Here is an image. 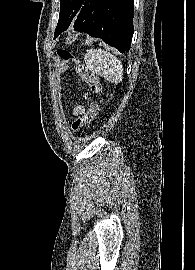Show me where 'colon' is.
<instances>
[{
    "mask_svg": "<svg viewBox=\"0 0 195 270\" xmlns=\"http://www.w3.org/2000/svg\"><path fill=\"white\" fill-rule=\"evenodd\" d=\"M58 57L64 62H72L76 65V71L83 81L89 86L94 94H99L101 91V83L99 78L90 71L81 61L75 58L67 49L59 48L57 50ZM99 106L97 102H92L82 116L75 119L72 123L74 131L82 130L88 123H90L98 114Z\"/></svg>",
    "mask_w": 195,
    "mask_h": 270,
    "instance_id": "5ec220e1",
    "label": "colon"
}]
</instances>
